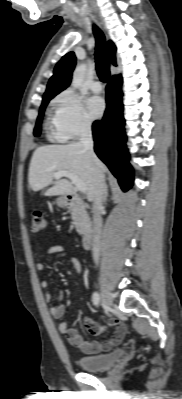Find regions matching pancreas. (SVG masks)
I'll use <instances>...</instances> for the list:
<instances>
[{
  "mask_svg": "<svg viewBox=\"0 0 182 399\" xmlns=\"http://www.w3.org/2000/svg\"><path fill=\"white\" fill-rule=\"evenodd\" d=\"M73 224L80 235H85L88 231L90 219L83 205H74L71 211Z\"/></svg>",
  "mask_w": 182,
  "mask_h": 399,
  "instance_id": "pancreas-1",
  "label": "pancreas"
}]
</instances>
